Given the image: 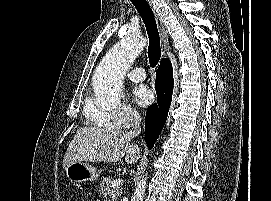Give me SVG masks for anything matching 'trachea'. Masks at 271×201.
<instances>
[{
  "mask_svg": "<svg viewBox=\"0 0 271 201\" xmlns=\"http://www.w3.org/2000/svg\"><path fill=\"white\" fill-rule=\"evenodd\" d=\"M145 24L149 37L148 58L154 68L161 58L160 37L154 14L146 0H131Z\"/></svg>",
  "mask_w": 271,
  "mask_h": 201,
  "instance_id": "obj_1",
  "label": "trachea"
}]
</instances>
